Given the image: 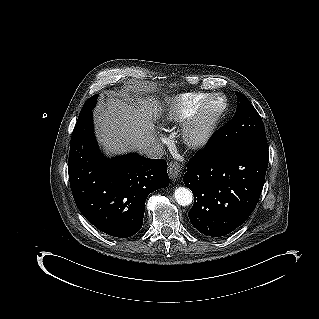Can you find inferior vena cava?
I'll use <instances>...</instances> for the list:
<instances>
[{
	"mask_svg": "<svg viewBox=\"0 0 319 319\" xmlns=\"http://www.w3.org/2000/svg\"><path fill=\"white\" fill-rule=\"evenodd\" d=\"M139 152L148 158L159 159L164 155L165 149L159 142H152L141 146Z\"/></svg>",
	"mask_w": 319,
	"mask_h": 319,
	"instance_id": "1",
	"label": "inferior vena cava"
}]
</instances>
